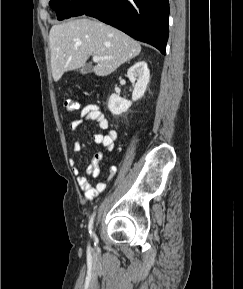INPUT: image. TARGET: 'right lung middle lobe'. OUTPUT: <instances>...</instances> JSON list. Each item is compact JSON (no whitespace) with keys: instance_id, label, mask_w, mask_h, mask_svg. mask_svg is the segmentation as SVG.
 Returning a JSON list of instances; mask_svg holds the SVG:
<instances>
[{"instance_id":"right-lung-middle-lobe-1","label":"right lung middle lobe","mask_w":243,"mask_h":289,"mask_svg":"<svg viewBox=\"0 0 243 289\" xmlns=\"http://www.w3.org/2000/svg\"><path fill=\"white\" fill-rule=\"evenodd\" d=\"M87 0H50V6L56 11L58 20L70 18Z\"/></svg>"}]
</instances>
